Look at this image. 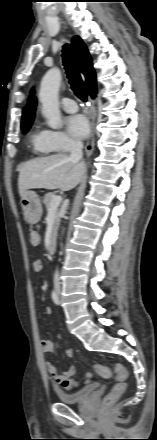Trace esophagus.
<instances>
[{
	"instance_id": "1",
	"label": "esophagus",
	"mask_w": 157,
	"mask_h": 440,
	"mask_svg": "<svg viewBox=\"0 0 157 440\" xmlns=\"http://www.w3.org/2000/svg\"><path fill=\"white\" fill-rule=\"evenodd\" d=\"M95 105L91 98H89V111H88V118H89V124L91 129V134L89 136V139L85 146V153L87 156H90L93 153L94 145H95V138H94V126H95Z\"/></svg>"
}]
</instances>
